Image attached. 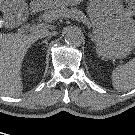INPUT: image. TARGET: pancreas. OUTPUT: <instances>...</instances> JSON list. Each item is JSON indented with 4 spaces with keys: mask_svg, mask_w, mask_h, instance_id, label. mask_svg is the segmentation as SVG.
<instances>
[{
    "mask_svg": "<svg viewBox=\"0 0 135 135\" xmlns=\"http://www.w3.org/2000/svg\"><path fill=\"white\" fill-rule=\"evenodd\" d=\"M65 3L68 5L72 4L70 0H67ZM69 15H76L81 18L84 17V14L81 11L75 8L69 10V9H66L65 6H63L61 8H54V9L44 11V13L40 15V18L44 20L45 22H52L54 20L69 16Z\"/></svg>",
    "mask_w": 135,
    "mask_h": 135,
    "instance_id": "pancreas-1",
    "label": "pancreas"
}]
</instances>
